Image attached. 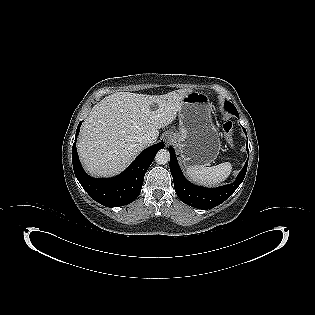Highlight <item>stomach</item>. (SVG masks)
Segmentation results:
<instances>
[{
    "label": "stomach",
    "mask_w": 315,
    "mask_h": 315,
    "mask_svg": "<svg viewBox=\"0 0 315 315\" xmlns=\"http://www.w3.org/2000/svg\"><path fill=\"white\" fill-rule=\"evenodd\" d=\"M211 106L202 92L192 91L182 100L174 145L185 168L210 165L219 155L221 141L211 119Z\"/></svg>",
    "instance_id": "stomach-1"
}]
</instances>
